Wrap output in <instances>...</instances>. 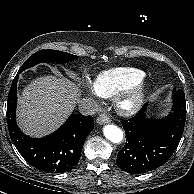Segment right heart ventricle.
I'll return each instance as SVG.
<instances>
[{
  "instance_id": "1",
  "label": "right heart ventricle",
  "mask_w": 194,
  "mask_h": 194,
  "mask_svg": "<svg viewBox=\"0 0 194 194\" xmlns=\"http://www.w3.org/2000/svg\"><path fill=\"white\" fill-rule=\"evenodd\" d=\"M144 77L145 73L140 69L117 67L100 72L95 77L93 86L99 96L111 98Z\"/></svg>"
}]
</instances>
